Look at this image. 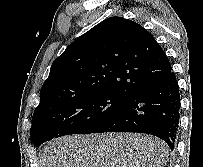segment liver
<instances>
[{
  "label": "liver",
  "instance_id": "obj_1",
  "mask_svg": "<svg viewBox=\"0 0 203 167\" xmlns=\"http://www.w3.org/2000/svg\"><path fill=\"white\" fill-rule=\"evenodd\" d=\"M166 144L133 133L68 135L47 143L38 167H163Z\"/></svg>",
  "mask_w": 203,
  "mask_h": 167
}]
</instances>
